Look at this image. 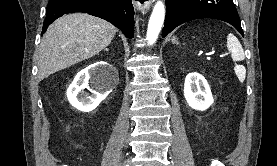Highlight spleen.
<instances>
[{
	"label": "spleen",
	"mask_w": 277,
	"mask_h": 166,
	"mask_svg": "<svg viewBox=\"0 0 277 166\" xmlns=\"http://www.w3.org/2000/svg\"><path fill=\"white\" fill-rule=\"evenodd\" d=\"M227 48L231 52V56L234 61L244 60L245 55L242 45L240 44L239 40L231 33L227 36Z\"/></svg>",
	"instance_id": "spleen-1"
}]
</instances>
